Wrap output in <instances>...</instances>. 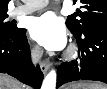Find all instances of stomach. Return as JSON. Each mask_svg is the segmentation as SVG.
Instances as JSON below:
<instances>
[{"label": "stomach", "instance_id": "0dacf381", "mask_svg": "<svg viewBox=\"0 0 107 89\" xmlns=\"http://www.w3.org/2000/svg\"><path fill=\"white\" fill-rule=\"evenodd\" d=\"M66 89H84L81 85H70Z\"/></svg>", "mask_w": 107, "mask_h": 89}]
</instances>
